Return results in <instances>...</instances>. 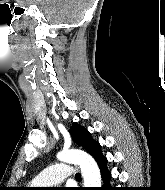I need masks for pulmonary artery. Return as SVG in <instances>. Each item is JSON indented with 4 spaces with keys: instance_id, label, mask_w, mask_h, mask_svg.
Segmentation results:
<instances>
[{
    "instance_id": "1",
    "label": "pulmonary artery",
    "mask_w": 165,
    "mask_h": 190,
    "mask_svg": "<svg viewBox=\"0 0 165 190\" xmlns=\"http://www.w3.org/2000/svg\"><path fill=\"white\" fill-rule=\"evenodd\" d=\"M75 171L68 163H56L41 171L34 179L35 185H54L64 181L68 177H73Z\"/></svg>"
}]
</instances>
